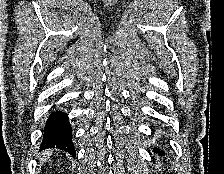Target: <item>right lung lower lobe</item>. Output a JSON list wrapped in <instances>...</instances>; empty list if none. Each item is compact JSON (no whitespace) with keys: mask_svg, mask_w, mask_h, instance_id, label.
<instances>
[{"mask_svg":"<svg viewBox=\"0 0 224 174\" xmlns=\"http://www.w3.org/2000/svg\"><path fill=\"white\" fill-rule=\"evenodd\" d=\"M45 148H59L75 155L72 127L66 113L54 111L47 119L41 143V149Z\"/></svg>","mask_w":224,"mask_h":174,"instance_id":"1","label":"right lung lower lobe"}]
</instances>
